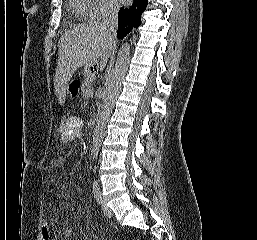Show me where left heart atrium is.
Here are the masks:
<instances>
[{
    "mask_svg": "<svg viewBox=\"0 0 257 240\" xmlns=\"http://www.w3.org/2000/svg\"><path fill=\"white\" fill-rule=\"evenodd\" d=\"M120 1H122V2H126V1H128V0H120Z\"/></svg>",
    "mask_w": 257,
    "mask_h": 240,
    "instance_id": "obj_1",
    "label": "left heart atrium"
}]
</instances>
